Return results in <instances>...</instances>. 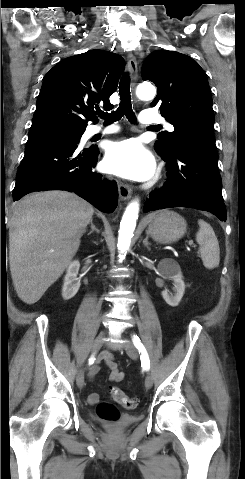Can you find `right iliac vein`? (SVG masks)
<instances>
[{"label": "right iliac vein", "instance_id": "right-iliac-vein-1", "mask_svg": "<svg viewBox=\"0 0 245 479\" xmlns=\"http://www.w3.org/2000/svg\"><path fill=\"white\" fill-rule=\"evenodd\" d=\"M105 339V333H100L98 335V337L95 339L93 345H92V348H91V351L92 353H95L97 352L102 344H103V341ZM76 382H77V385L79 388H83L84 387V371L83 369H80L77 373V377H76Z\"/></svg>", "mask_w": 245, "mask_h": 479}]
</instances>
